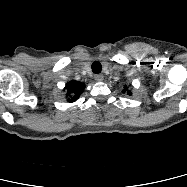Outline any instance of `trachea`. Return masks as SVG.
Returning <instances> with one entry per match:
<instances>
[{"instance_id": "1", "label": "trachea", "mask_w": 187, "mask_h": 187, "mask_svg": "<svg viewBox=\"0 0 187 187\" xmlns=\"http://www.w3.org/2000/svg\"><path fill=\"white\" fill-rule=\"evenodd\" d=\"M92 71H93V73H96V74H98V73H100L101 72V70H102V65H101V63L100 62H93L92 63Z\"/></svg>"}]
</instances>
